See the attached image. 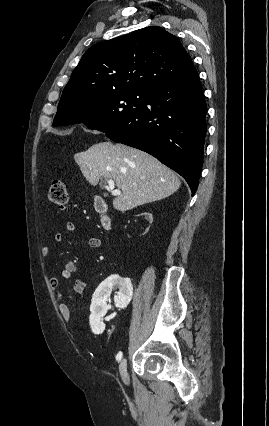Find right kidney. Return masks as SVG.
Returning <instances> with one entry per match:
<instances>
[{
  "instance_id": "right-kidney-1",
  "label": "right kidney",
  "mask_w": 269,
  "mask_h": 426,
  "mask_svg": "<svg viewBox=\"0 0 269 426\" xmlns=\"http://www.w3.org/2000/svg\"><path fill=\"white\" fill-rule=\"evenodd\" d=\"M137 216L140 217L141 221H146L141 225V232L144 235H147L150 232V225L153 224L152 214L150 213H141L138 212ZM139 233L138 237L142 238L143 234ZM115 286L119 287V292L114 297L116 306L118 307H129L131 304V299L133 296L132 285L129 280L122 279L119 276H111L102 282L97 290L95 291L94 297L92 299L91 305V315H90V327L94 334H101L105 325L102 322L103 316L107 312V299L111 294V289Z\"/></svg>"
}]
</instances>
